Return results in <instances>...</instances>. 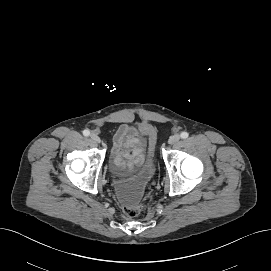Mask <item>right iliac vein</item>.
Returning <instances> with one entry per match:
<instances>
[{"label":"right iliac vein","mask_w":271,"mask_h":271,"mask_svg":"<svg viewBox=\"0 0 271 271\" xmlns=\"http://www.w3.org/2000/svg\"><path fill=\"white\" fill-rule=\"evenodd\" d=\"M90 139L95 143H100L101 142V139L98 136V134L94 133V132L90 134Z\"/></svg>","instance_id":"obj_1"}]
</instances>
